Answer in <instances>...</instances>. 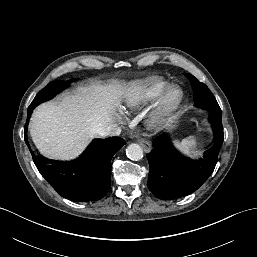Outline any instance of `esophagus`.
I'll return each instance as SVG.
<instances>
[{
  "mask_svg": "<svg viewBox=\"0 0 257 257\" xmlns=\"http://www.w3.org/2000/svg\"><path fill=\"white\" fill-rule=\"evenodd\" d=\"M137 142L139 143V145L143 148V150L145 152H149L151 150V145L148 141H146L144 139H139Z\"/></svg>",
  "mask_w": 257,
  "mask_h": 257,
  "instance_id": "1",
  "label": "esophagus"
}]
</instances>
